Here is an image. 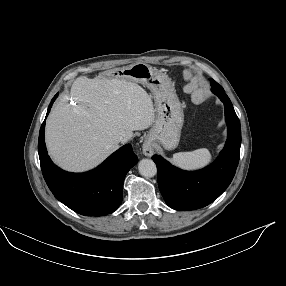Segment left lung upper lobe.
<instances>
[{"label": "left lung upper lobe", "mask_w": 286, "mask_h": 286, "mask_svg": "<svg viewBox=\"0 0 286 286\" xmlns=\"http://www.w3.org/2000/svg\"><path fill=\"white\" fill-rule=\"evenodd\" d=\"M211 90L214 94H216L217 96L219 95H226L224 94V89L217 83L215 82L213 79H211Z\"/></svg>", "instance_id": "left-lung-upper-lobe-1"}]
</instances>
